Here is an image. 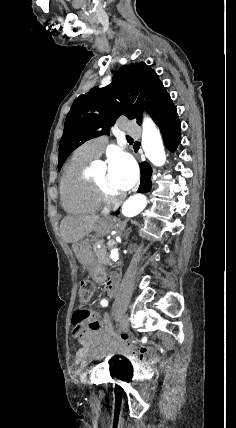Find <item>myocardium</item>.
I'll return each instance as SVG.
<instances>
[{
    "label": "myocardium",
    "instance_id": "1",
    "mask_svg": "<svg viewBox=\"0 0 236 428\" xmlns=\"http://www.w3.org/2000/svg\"><path fill=\"white\" fill-rule=\"evenodd\" d=\"M94 191L98 201L103 205H113L121 203L124 200L125 195L122 193L119 196L111 195L105 186L97 181L95 178H91Z\"/></svg>",
    "mask_w": 236,
    "mask_h": 428
}]
</instances>
